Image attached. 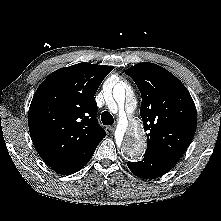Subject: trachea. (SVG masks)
<instances>
[{
  "instance_id": "3493384b",
  "label": "trachea",
  "mask_w": 221,
  "mask_h": 221,
  "mask_svg": "<svg viewBox=\"0 0 221 221\" xmlns=\"http://www.w3.org/2000/svg\"><path fill=\"white\" fill-rule=\"evenodd\" d=\"M101 121L104 125H112L114 123L113 116L107 111L101 114Z\"/></svg>"
}]
</instances>
